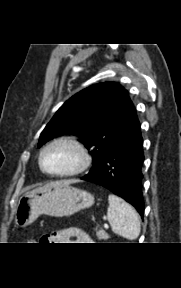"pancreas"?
I'll list each match as a JSON object with an SVG mask.
<instances>
[{"label": "pancreas", "mask_w": 181, "mask_h": 288, "mask_svg": "<svg viewBox=\"0 0 181 288\" xmlns=\"http://www.w3.org/2000/svg\"><path fill=\"white\" fill-rule=\"evenodd\" d=\"M95 231H96V236H97L98 239L106 240V239L109 238V235L104 230L95 229Z\"/></svg>", "instance_id": "obj_1"}]
</instances>
